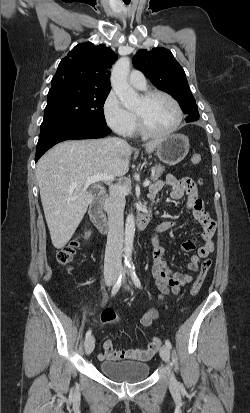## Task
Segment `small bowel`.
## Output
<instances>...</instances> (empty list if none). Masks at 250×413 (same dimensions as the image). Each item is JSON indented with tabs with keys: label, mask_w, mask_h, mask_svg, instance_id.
<instances>
[{
	"label": "small bowel",
	"mask_w": 250,
	"mask_h": 413,
	"mask_svg": "<svg viewBox=\"0 0 250 413\" xmlns=\"http://www.w3.org/2000/svg\"><path fill=\"white\" fill-rule=\"evenodd\" d=\"M170 187V198L177 200L187 195L186 208L192 214V217L201 223L203 230L200 234L202 240L201 246L197 248L196 254L190 257L187 264L188 271L196 272L199 269L201 259L209 256L214 250L213 235L215 232V222L209 217L204 209V205L199 199L192 180L188 177H176L168 174L164 180H158L153 183L149 190L151 199H155L158 193L165 187ZM177 225L176 221L165 220L161 222L154 230L152 235L153 256H152V274L155 279L157 288L161 292L160 299L169 295L177 294L186 284L192 282L193 277L190 273L174 272L169 268L163 259L164 249L158 240V233L166 231ZM183 250L191 251L196 248L195 240H189L183 244ZM158 317L156 309H149L141 319L144 327H150ZM119 320V319H118ZM119 324V323H118ZM157 348L150 344L145 348L126 349L116 351L110 340L103 343V352L98 354L99 360H138L147 361L151 359Z\"/></svg>",
	"instance_id": "small-bowel-1"
}]
</instances>
